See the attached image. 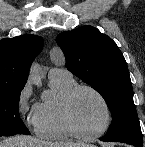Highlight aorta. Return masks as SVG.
Masks as SVG:
<instances>
[{"instance_id": "obj_1", "label": "aorta", "mask_w": 145, "mask_h": 147, "mask_svg": "<svg viewBox=\"0 0 145 147\" xmlns=\"http://www.w3.org/2000/svg\"><path fill=\"white\" fill-rule=\"evenodd\" d=\"M30 79L37 85L41 83L42 76L39 72L38 65L34 64L31 68Z\"/></svg>"}]
</instances>
